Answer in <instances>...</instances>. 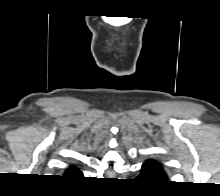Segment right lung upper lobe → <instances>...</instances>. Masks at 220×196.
Listing matches in <instances>:
<instances>
[{
	"label": "right lung upper lobe",
	"mask_w": 220,
	"mask_h": 196,
	"mask_svg": "<svg viewBox=\"0 0 220 196\" xmlns=\"http://www.w3.org/2000/svg\"><path fill=\"white\" fill-rule=\"evenodd\" d=\"M66 173L68 175H79L81 174V172L74 166H70L67 170H66Z\"/></svg>",
	"instance_id": "right-lung-upper-lobe-1"
}]
</instances>
